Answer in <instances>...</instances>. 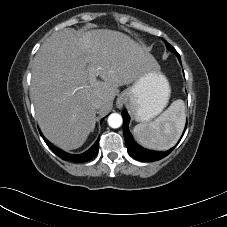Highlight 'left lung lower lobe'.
I'll use <instances>...</instances> for the list:
<instances>
[{"label": "left lung lower lobe", "mask_w": 227, "mask_h": 227, "mask_svg": "<svg viewBox=\"0 0 227 227\" xmlns=\"http://www.w3.org/2000/svg\"><path fill=\"white\" fill-rule=\"evenodd\" d=\"M122 116H123V134H124V138H125V142H126L127 151L131 157H133L134 159L139 160V161H157V160H160V159L166 157L168 154L171 153L173 148L166 152H157V151H151V150L144 149L143 147L138 145L134 141L131 133L128 130V124H129L130 117H129L126 109H124L122 111ZM185 130H186V127H185ZM185 130H184V132H185Z\"/></svg>", "instance_id": "1"}]
</instances>
